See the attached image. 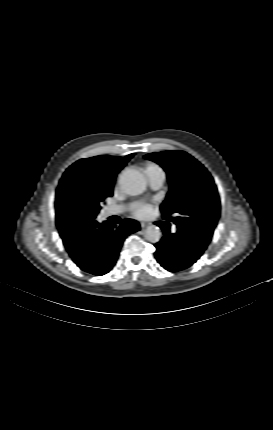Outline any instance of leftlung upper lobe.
Wrapping results in <instances>:
<instances>
[{
  "label": "left lung upper lobe",
  "mask_w": 273,
  "mask_h": 430,
  "mask_svg": "<svg viewBox=\"0 0 273 430\" xmlns=\"http://www.w3.org/2000/svg\"><path fill=\"white\" fill-rule=\"evenodd\" d=\"M145 158L158 163L168 175L169 192L160 207L163 216L208 245L220 215V199L210 173L183 151L151 153Z\"/></svg>",
  "instance_id": "obj_1"
}]
</instances>
